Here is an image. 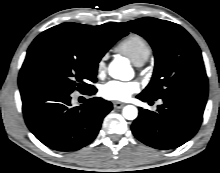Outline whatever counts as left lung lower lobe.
<instances>
[{
    "label": "left lung lower lobe",
    "instance_id": "0a47b994",
    "mask_svg": "<svg viewBox=\"0 0 220 173\" xmlns=\"http://www.w3.org/2000/svg\"><path fill=\"white\" fill-rule=\"evenodd\" d=\"M138 99L152 100L141 93ZM157 112L140 109L131 129L144 144L156 149H174L190 140L198 131L207 99L176 95L164 98Z\"/></svg>",
    "mask_w": 220,
    "mask_h": 173
}]
</instances>
